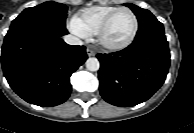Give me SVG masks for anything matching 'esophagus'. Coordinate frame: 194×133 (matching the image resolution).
Masks as SVG:
<instances>
[{
  "mask_svg": "<svg viewBox=\"0 0 194 133\" xmlns=\"http://www.w3.org/2000/svg\"><path fill=\"white\" fill-rule=\"evenodd\" d=\"M87 54H88V56H93L94 55L93 51L90 50V49H87Z\"/></svg>",
  "mask_w": 194,
  "mask_h": 133,
  "instance_id": "obj_1",
  "label": "esophagus"
}]
</instances>
